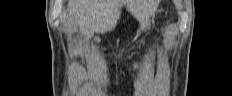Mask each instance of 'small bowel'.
<instances>
[{
    "instance_id": "c3829d8e",
    "label": "small bowel",
    "mask_w": 232,
    "mask_h": 96,
    "mask_svg": "<svg viewBox=\"0 0 232 96\" xmlns=\"http://www.w3.org/2000/svg\"><path fill=\"white\" fill-rule=\"evenodd\" d=\"M158 87L155 85L154 80H139L136 81L132 86L133 96H147L155 93H159Z\"/></svg>"
}]
</instances>
